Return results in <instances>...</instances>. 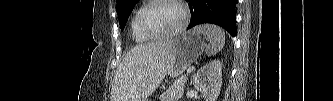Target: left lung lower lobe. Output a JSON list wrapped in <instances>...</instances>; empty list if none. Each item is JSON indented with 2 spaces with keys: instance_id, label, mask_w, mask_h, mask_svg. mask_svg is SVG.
Masks as SVG:
<instances>
[{
  "instance_id": "obj_1",
  "label": "left lung lower lobe",
  "mask_w": 333,
  "mask_h": 101,
  "mask_svg": "<svg viewBox=\"0 0 333 101\" xmlns=\"http://www.w3.org/2000/svg\"><path fill=\"white\" fill-rule=\"evenodd\" d=\"M191 23L188 29L203 23L223 27L233 37L237 35L235 7L237 0H188Z\"/></svg>"
}]
</instances>
